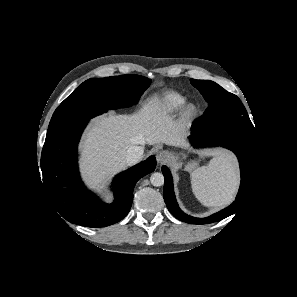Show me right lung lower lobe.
<instances>
[{
	"mask_svg": "<svg viewBox=\"0 0 297 297\" xmlns=\"http://www.w3.org/2000/svg\"><path fill=\"white\" fill-rule=\"evenodd\" d=\"M87 122L45 141L40 162L43 184L50 201L66 220L87 227H105L128 214L136 182L154 171L156 159L151 156L117 175L112 184L115 200L102 203L85 188L78 172L77 145Z\"/></svg>",
	"mask_w": 297,
	"mask_h": 297,
	"instance_id": "98d812e1",
	"label": "right lung lower lobe"
}]
</instances>
